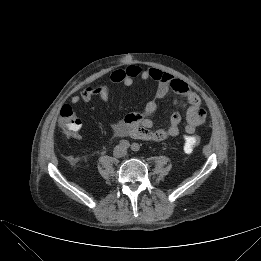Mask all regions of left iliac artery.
I'll list each match as a JSON object with an SVG mask.
<instances>
[{"label": "left iliac artery", "mask_w": 261, "mask_h": 261, "mask_svg": "<svg viewBox=\"0 0 261 261\" xmlns=\"http://www.w3.org/2000/svg\"><path fill=\"white\" fill-rule=\"evenodd\" d=\"M131 149H132L134 152H137V151L139 150V145L136 144V143H134V144H132Z\"/></svg>", "instance_id": "44dca946"}]
</instances>
